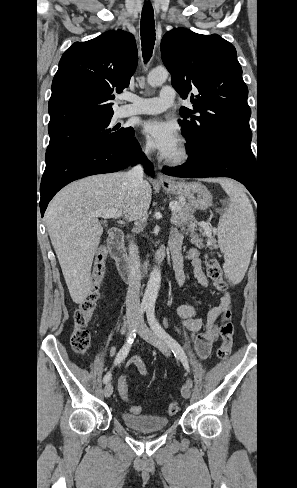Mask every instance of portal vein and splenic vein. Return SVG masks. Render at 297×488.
<instances>
[{"label": "portal vein and splenic vein", "instance_id": "1", "mask_svg": "<svg viewBox=\"0 0 297 488\" xmlns=\"http://www.w3.org/2000/svg\"><path fill=\"white\" fill-rule=\"evenodd\" d=\"M170 209L177 210L178 206L174 203L169 204ZM93 216L96 217H103V218H119L121 215V212L118 209H105V210H100L92 214Z\"/></svg>", "mask_w": 297, "mask_h": 488}]
</instances>
